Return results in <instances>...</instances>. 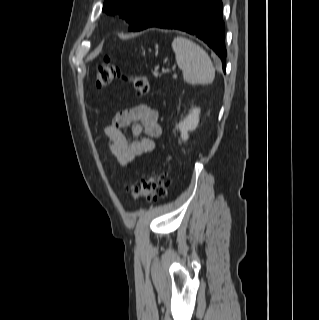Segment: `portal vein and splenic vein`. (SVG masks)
<instances>
[{"instance_id":"18ae733b","label":"portal vein and splenic vein","mask_w":319,"mask_h":320,"mask_svg":"<svg viewBox=\"0 0 319 320\" xmlns=\"http://www.w3.org/2000/svg\"><path fill=\"white\" fill-rule=\"evenodd\" d=\"M173 77L176 78V77H177V74H173Z\"/></svg>"}]
</instances>
